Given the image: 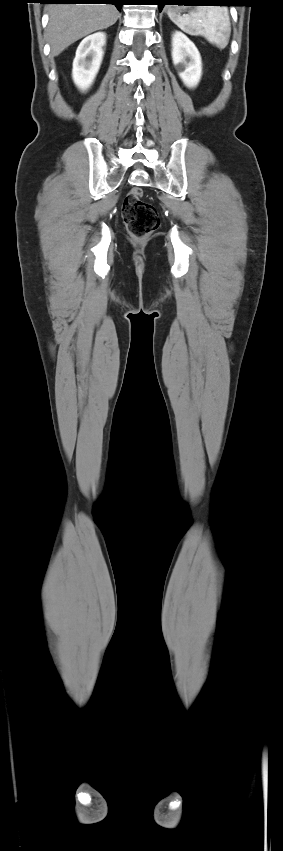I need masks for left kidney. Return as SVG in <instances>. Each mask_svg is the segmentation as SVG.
Returning a JSON list of instances; mask_svg holds the SVG:
<instances>
[{"mask_svg":"<svg viewBox=\"0 0 283 851\" xmlns=\"http://www.w3.org/2000/svg\"><path fill=\"white\" fill-rule=\"evenodd\" d=\"M172 60L184 84L195 87L202 75L201 56L194 43L179 31L172 37Z\"/></svg>","mask_w":283,"mask_h":851,"instance_id":"obj_1","label":"left kidney"}]
</instances>
